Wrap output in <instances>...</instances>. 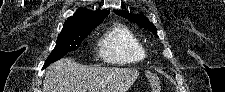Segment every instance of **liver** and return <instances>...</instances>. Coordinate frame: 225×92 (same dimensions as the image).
Masks as SVG:
<instances>
[{"instance_id": "6515ba94", "label": "liver", "mask_w": 225, "mask_h": 92, "mask_svg": "<svg viewBox=\"0 0 225 92\" xmlns=\"http://www.w3.org/2000/svg\"><path fill=\"white\" fill-rule=\"evenodd\" d=\"M138 76L136 69L86 67L63 58L48 67L42 92H127Z\"/></svg>"}]
</instances>
